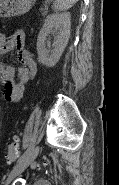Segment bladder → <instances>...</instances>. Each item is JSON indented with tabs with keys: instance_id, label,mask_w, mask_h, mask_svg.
Masks as SVG:
<instances>
[{
	"instance_id": "bladder-1",
	"label": "bladder",
	"mask_w": 119,
	"mask_h": 185,
	"mask_svg": "<svg viewBox=\"0 0 119 185\" xmlns=\"http://www.w3.org/2000/svg\"><path fill=\"white\" fill-rule=\"evenodd\" d=\"M34 185H51V183L46 180H38L34 183Z\"/></svg>"
}]
</instances>
